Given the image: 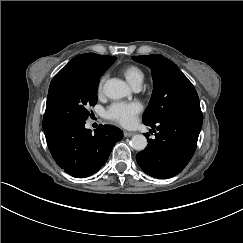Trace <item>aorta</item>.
Wrapping results in <instances>:
<instances>
[{
	"label": "aorta",
	"mask_w": 243,
	"mask_h": 243,
	"mask_svg": "<svg viewBox=\"0 0 243 243\" xmlns=\"http://www.w3.org/2000/svg\"><path fill=\"white\" fill-rule=\"evenodd\" d=\"M129 92L126 83L119 79H108L103 85L104 95L112 100L120 99L129 94ZM130 146L136 151H142L147 146V140L141 134L134 135L130 140Z\"/></svg>",
	"instance_id": "aorta-1"
}]
</instances>
